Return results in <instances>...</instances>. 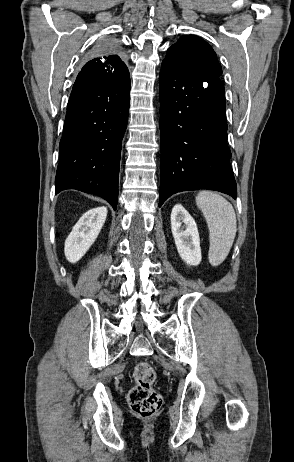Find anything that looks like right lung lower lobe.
Listing matches in <instances>:
<instances>
[{
  "label": "right lung lower lobe",
  "instance_id": "right-lung-lower-lobe-1",
  "mask_svg": "<svg viewBox=\"0 0 294 462\" xmlns=\"http://www.w3.org/2000/svg\"><path fill=\"white\" fill-rule=\"evenodd\" d=\"M129 99V73L110 84L71 92L59 146L55 194L77 189L106 199L116 210Z\"/></svg>",
  "mask_w": 294,
  "mask_h": 462
}]
</instances>
